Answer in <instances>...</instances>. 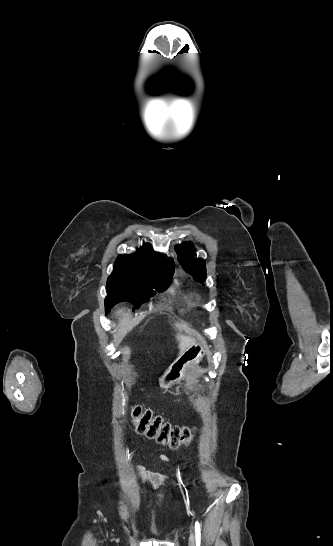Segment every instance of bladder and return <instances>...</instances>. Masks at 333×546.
Returning a JSON list of instances; mask_svg holds the SVG:
<instances>
[{
	"label": "bladder",
	"mask_w": 333,
	"mask_h": 546,
	"mask_svg": "<svg viewBox=\"0 0 333 546\" xmlns=\"http://www.w3.org/2000/svg\"><path fill=\"white\" fill-rule=\"evenodd\" d=\"M149 534L151 536H153V537H160V535H161L160 531L158 529H155V528L151 529L149 531Z\"/></svg>",
	"instance_id": "31cf9c89"
}]
</instances>
